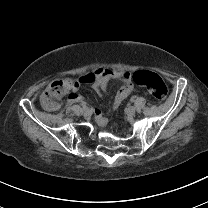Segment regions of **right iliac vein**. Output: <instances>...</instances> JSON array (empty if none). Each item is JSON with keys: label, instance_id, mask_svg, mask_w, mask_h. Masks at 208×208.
Instances as JSON below:
<instances>
[{"label": "right iliac vein", "instance_id": "1", "mask_svg": "<svg viewBox=\"0 0 208 208\" xmlns=\"http://www.w3.org/2000/svg\"><path fill=\"white\" fill-rule=\"evenodd\" d=\"M82 113H83L84 115H87V114L89 113V109H88V108H84V109L82 110Z\"/></svg>", "mask_w": 208, "mask_h": 208}]
</instances>
